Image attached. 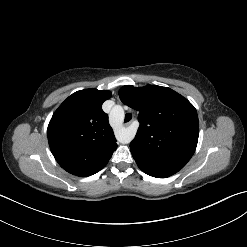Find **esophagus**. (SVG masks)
Here are the masks:
<instances>
[{
	"mask_svg": "<svg viewBox=\"0 0 247 247\" xmlns=\"http://www.w3.org/2000/svg\"><path fill=\"white\" fill-rule=\"evenodd\" d=\"M131 122L126 123V125H130Z\"/></svg>",
	"mask_w": 247,
	"mask_h": 247,
	"instance_id": "1",
	"label": "esophagus"
}]
</instances>
